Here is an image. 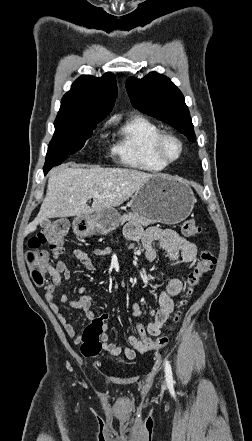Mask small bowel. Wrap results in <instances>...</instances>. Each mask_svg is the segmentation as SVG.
I'll return each instance as SVG.
<instances>
[{
	"instance_id": "1",
	"label": "small bowel",
	"mask_w": 252,
	"mask_h": 441,
	"mask_svg": "<svg viewBox=\"0 0 252 441\" xmlns=\"http://www.w3.org/2000/svg\"><path fill=\"white\" fill-rule=\"evenodd\" d=\"M125 236L132 241L141 242L145 249L147 260L152 263L156 258V251L153 244L156 242L166 252L167 257L173 263L182 261L184 263H191L195 260L197 255V247L194 243L188 241L180 236L172 229H160L157 227H150L142 229L137 225L127 226L125 229ZM62 251L53 252L55 259L59 258ZM110 254L109 248H97L90 254L84 252L79 248L73 250V255L78 259L84 267L89 271H94L95 267L92 262V256H106ZM48 274L51 278L50 283L45 288V300L53 313L58 318L59 322L65 329L69 337L74 339L76 343L81 342V335H79L73 324L66 318L61 310L62 305H67L75 309H80L85 313L89 320L95 318V313L92 308V297L86 294V288L81 286L78 288L79 298L71 300L67 294H63L60 299L56 298V290L60 287L63 280L69 281L71 279V272L68 266L63 261L48 268ZM182 282L177 278L168 280L165 289L158 297V308L151 310L150 314L153 321L148 325L147 331L152 336L159 335L162 326L167 321L174 309V297L179 295L182 291ZM132 313L135 317H139L142 313L139 304L135 303L132 306ZM102 348L112 356L123 354L128 359H134L137 353L146 352L145 343L135 336H130L128 342L129 347H122L116 342L109 339L107 327L101 335Z\"/></svg>"
}]
</instances>
